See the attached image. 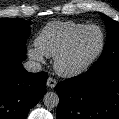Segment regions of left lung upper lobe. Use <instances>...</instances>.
Instances as JSON below:
<instances>
[{"mask_svg": "<svg viewBox=\"0 0 119 119\" xmlns=\"http://www.w3.org/2000/svg\"><path fill=\"white\" fill-rule=\"evenodd\" d=\"M107 29V40L101 56L92 65L93 68L101 70L115 62H119V23L105 14H100Z\"/></svg>", "mask_w": 119, "mask_h": 119, "instance_id": "left-lung-upper-lobe-1", "label": "left lung upper lobe"}]
</instances>
